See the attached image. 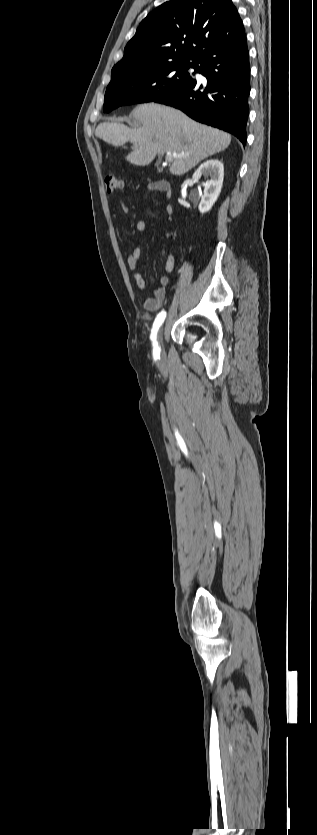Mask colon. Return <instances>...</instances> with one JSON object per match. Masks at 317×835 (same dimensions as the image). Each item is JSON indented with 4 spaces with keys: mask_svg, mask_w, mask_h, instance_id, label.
<instances>
[{
    "mask_svg": "<svg viewBox=\"0 0 317 835\" xmlns=\"http://www.w3.org/2000/svg\"><path fill=\"white\" fill-rule=\"evenodd\" d=\"M105 183L108 192H114L121 189L123 186L122 180L114 174L108 175L105 179Z\"/></svg>",
    "mask_w": 317,
    "mask_h": 835,
    "instance_id": "5ec220e1",
    "label": "colon"
}]
</instances>
